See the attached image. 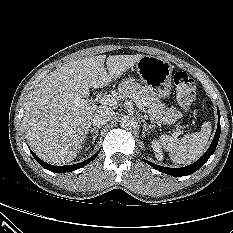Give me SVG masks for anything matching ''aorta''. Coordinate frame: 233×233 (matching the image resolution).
<instances>
[{
	"instance_id": "obj_1",
	"label": "aorta",
	"mask_w": 233,
	"mask_h": 233,
	"mask_svg": "<svg viewBox=\"0 0 233 233\" xmlns=\"http://www.w3.org/2000/svg\"><path fill=\"white\" fill-rule=\"evenodd\" d=\"M120 126L124 129H132L135 126L133 117L124 115L120 118Z\"/></svg>"
}]
</instances>
